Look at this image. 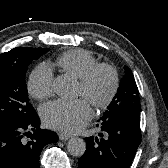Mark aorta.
I'll return each mask as SVG.
<instances>
[{
	"instance_id": "aorta-1",
	"label": "aorta",
	"mask_w": 168,
	"mask_h": 168,
	"mask_svg": "<svg viewBox=\"0 0 168 168\" xmlns=\"http://www.w3.org/2000/svg\"><path fill=\"white\" fill-rule=\"evenodd\" d=\"M54 92L61 98H70L75 94L76 82L67 75L58 76L53 83ZM68 152L75 157H81L86 150V143L78 137L71 138L67 143Z\"/></svg>"
}]
</instances>
